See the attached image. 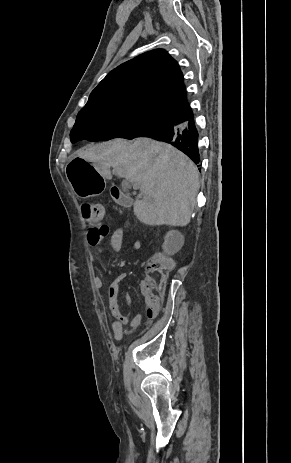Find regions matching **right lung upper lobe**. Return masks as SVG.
Returning <instances> with one entry per match:
<instances>
[{
  "instance_id": "right-lung-upper-lobe-1",
  "label": "right lung upper lobe",
  "mask_w": 291,
  "mask_h": 463,
  "mask_svg": "<svg viewBox=\"0 0 291 463\" xmlns=\"http://www.w3.org/2000/svg\"><path fill=\"white\" fill-rule=\"evenodd\" d=\"M139 110L183 123L194 115L178 63L165 50L143 53L113 69L82 109Z\"/></svg>"
}]
</instances>
